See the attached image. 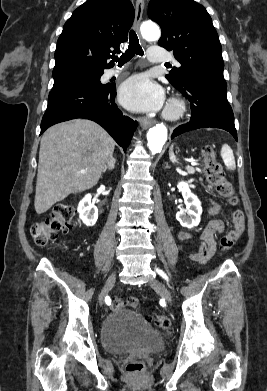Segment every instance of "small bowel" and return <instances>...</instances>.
<instances>
[{"label": "small bowel", "instance_id": "c3829d8e", "mask_svg": "<svg viewBox=\"0 0 267 391\" xmlns=\"http://www.w3.org/2000/svg\"><path fill=\"white\" fill-rule=\"evenodd\" d=\"M219 212V205L215 202H211L209 213L216 215ZM224 230V224L221 220L215 219L210 221L201 232L199 237V250L195 253H190L189 258L197 263L205 264L216 251V238L217 233H221ZM191 238V234L187 232L179 233V239L181 241Z\"/></svg>", "mask_w": 267, "mask_h": 391}]
</instances>
